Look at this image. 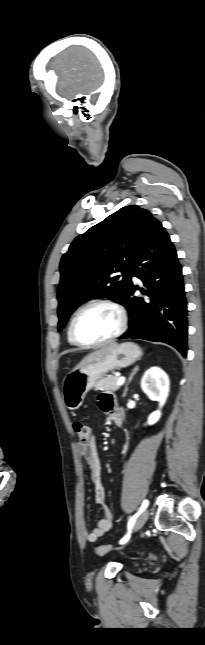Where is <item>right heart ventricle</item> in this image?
Wrapping results in <instances>:
<instances>
[{
	"label": "right heart ventricle",
	"instance_id": "e07e8e85",
	"mask_svg": "<svg viewBox=\"0 0 205 645\" xmlns=\"http://www.w3.org/2000/svg\"><path fill=\"white\" fill-rule=\"evenodd\" d=\"M67 338H68V342H69L70 344L75 345L74 341L72 340V338H71V336H70L69 328H68V331H67Z\"/></svg>",
	"mask_w": 205,
	"mask_h": 645
}]
</instances>
